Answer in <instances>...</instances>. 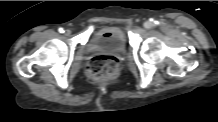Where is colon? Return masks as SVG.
<instances>
[{"mask_svg":"<svg viewBox=\"0 0 218 122\" xmlns=\"http://www.w3.org/2000/svg\"><path fill=\"white\" fill-rule=\"evenodd\" d=\"M119 70V61L115 56L99 55L90 61L88 76L95 82H103L113 78Z\"/></svg>","mask_w":218,"mask_h":122,"instance_id":"1","label":"colon"}]
</instances>
